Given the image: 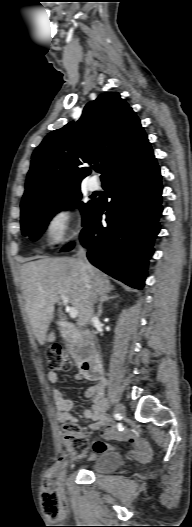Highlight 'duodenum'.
<instances>
[{
    "label": "duodenum",
    "instance_id": "1",
    "mask_svg": "<svg viewBox=\"0 0 192 527\" xmlns=\"http://www.w3.org/2000/svg\"><path fill=\"white\" fill-rule=\"evenodd\" d=\"M61 333L68 339H78L80 335L73 324L69 322H63L61 324ZM77 362L81 372L85 377L102 381V366L100 363L99 356L96 352L90 351L88 354H79L77 356Z\"/></svg>",
    "mask_w": 192,
    "mask_h": 527
}]
</instances>
